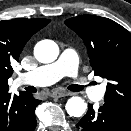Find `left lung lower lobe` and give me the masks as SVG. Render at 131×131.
<instances>
[{"label": "left lung lower lobe", "instance_id": "left-lung-lower-lobe-1", "mask_svg": "<svg viewBox=\"0 0 131 131\" xmlns=\"http://www.w3.org/2000/svg\"><path fill=\"white\" fill-rule=\"evenodd\" d=\"M76 127L79 131H131V117L107 104L98 111L89 104L87 114Z\"/></svg>", "mask_w": 131, "mask_h": 131}]
</instances>
